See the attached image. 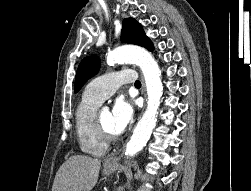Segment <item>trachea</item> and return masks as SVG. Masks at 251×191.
<instances>
[{"label": "trachea", "instance_id": "trachea-1", "mask_svg": "<svg viewBox=\"0 0 251 191\" xmlns=\"http://www.w3.org/2000/svg\"><path fill=\"white\" fill-rule=\"evenodd\" d=\"M135 86H141V82L139 80L135 81Z\"/></svg>", "mask_w": 251, "mask_h": 191}]
</instances>
